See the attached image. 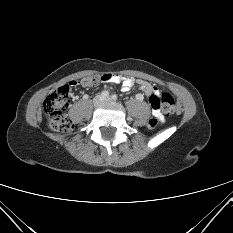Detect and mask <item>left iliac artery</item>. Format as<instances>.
Wrapping results in <instances>:
<instances>
[{
	"mask_svg": "<svg viewBox=\"0 0 233 233\" xmlns=\"http://www.w3.org/2000/svg\"><path fill=\"white\" fill-rule=\"evenodd\" d=\"M117 98H118V97H117L116 94H113V95H112V99H113V100H117Z\"/></svg>",
	"mask_w": 233,
	"mask_h": 233,
	"instance_id": "left-iliac-artery-1",
	"label": "left iliac artery"
}]
</instances>
